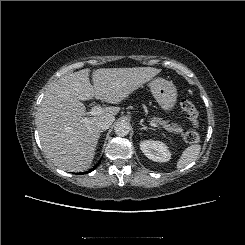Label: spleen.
Wrapping results in <instances>:
<instances>
[{"label":"spleen","instance_id":"spleen-1","mask_svg":"<svg viewBox=\"0 0 245 245\" xmlns=\"http://www.w3.org/2000/svg\"><path fill=\"white\" fill-rule=\"evenodd\" d=\"M201 146L199 144L190 145L185 148L177 161V168L181 169L193 162L199 155Z\"/></svg>","mask_w":245,"mask_h":245}]
</instances>
